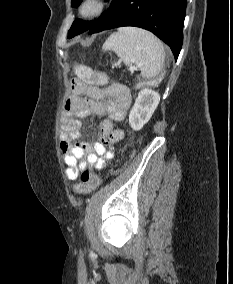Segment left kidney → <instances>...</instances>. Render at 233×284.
Returning <instances> with one entry per match:
<instances>
[{"label": "left kidney", "mask_w": 233, "mask_h": 284, "mask_svg": "<svg viewBox=\"0 0 233 284\" xmlns=\"http://www.w3.org/2000/svg\"><path fill=\"white\" fill-rule=\"evenodd\" d=\"M160 101L158 92L144 88L138 93L135 104L129 114V124L138 131L150 120Z\"/></svg>", "instance_id": "obj_1"}]
</instances>
